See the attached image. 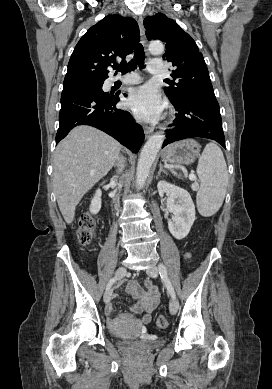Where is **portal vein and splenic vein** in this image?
<instances>
[{"label": "portal vein and splenic vein", "mask_w": 272, "mask_h": 389, "mask_svg": "<svg viewBox=\"0 0 272 389\" xmlns=\"http://www.w3.org/2000/svg\"><path fill=\"white\" fill-rule=\"evenodd\" d=\"M174 173H175V172H174ZM189 179L193 181V180H196L197 178H196V176H195L194 173H190V174H189Z\"/></svg>", "instance_id": "18ae733b"}]
</instances>
